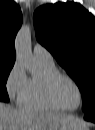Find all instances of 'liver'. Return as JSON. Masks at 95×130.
<instances>
[{
	"instance_id": "1",
	"label": "liver",
	"mask_w": 95,
	"mask_h": 130,
	"mask_svg": "<svg viewBox=\"0 0 95 130\" xmlns=\"http://www.w3.org/2000/svg\"><path fill=\"white\" fill-rule=\"evenodd\" d=\"M73 120L76 118L69 114L0 105V130H58L60 125ZM84 128L88 130V126Z\"/></svg>"
}]
</instances>
